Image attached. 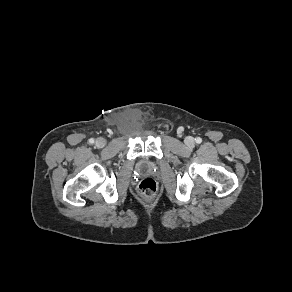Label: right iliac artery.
Segmentation results:
<instances>
[{
	"instance_id": "obj_1",
	"label": "right iliac artery",
	"mask_w": 292,
	"mask_h": 292,
	"mask_svg": "<svg viewBox=\"0 0 292 292\" xmlns=\"http://www.w3.org/2000/svg\"><path fill=\"white\" fill-rule=\"evenodd\" d=\"M89 143L93 144L94 143V139L93 138L89 139Z\"/></svg>"
}]
</instances>
